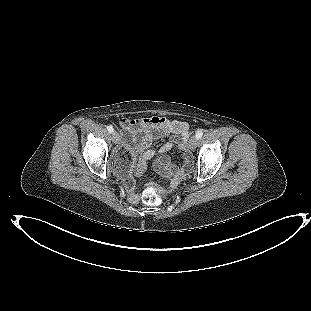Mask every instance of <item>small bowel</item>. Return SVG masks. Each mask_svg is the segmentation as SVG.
<instances>
[{
    "label": "small bowel",
    "instance_id": "1",
    "mask_svg": "<svg viewBox=\"0 0 311 311\" xmlns=\"http://www.w3.org/2000/svg\"><path fill=\"white\" fill-rule=\"evenodd\" d=\"M119 124L123 133L118 167L124 161L131 162V172L135 176H141L146 172L149 162L159 156L156 169L168 173L173 184L185 176L191 166V159L188 154L185 153L184 163L181 167L173 165L170 158L165 156L167 152L173 149L186 151L188 128L184 122L153 116L141 119L121 118ZM165 136H170L171 140L159 148L152 147L154 140ZM124 150L127 151V154H123ZM129 194L133 201L137 200V187L132 181H129Z\"/></svg>",
    "mask_w": 311,
    "mask_h": 311
}]
</instances>
